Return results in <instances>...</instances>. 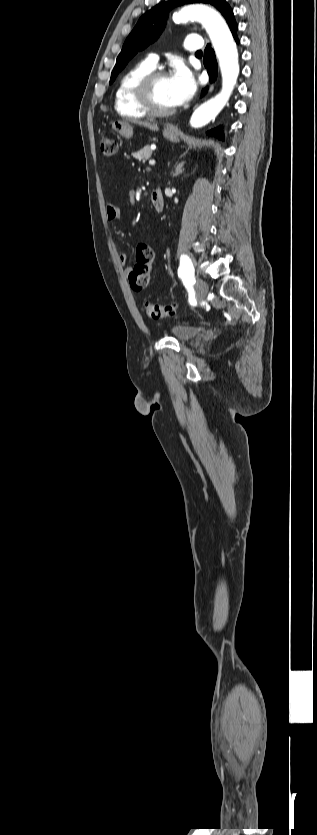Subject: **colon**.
<instances>
[{
  "instance_id": "5ec220e1",
  "label": "colon",
  "mask_w": 317,
  "mask_h": 835,
  "mask_svg": "<svg viewBox=\"0 0 317 835\" xmlns=\"http://www.w3.org/2000/svg\"><path fill=\"white\" fill-rule=\"evenodd\" d=\"M100 149L105 158H112L117 149V142L111 136H104L100 141ZM152 271V262L139 259L128 275V281L132 290L139 292L147 288ZM146 313L149 318L157 320L171 317L176 312L173 304L160 305L151 302L145 303Z\"/></svg>"
}]
</instances>
